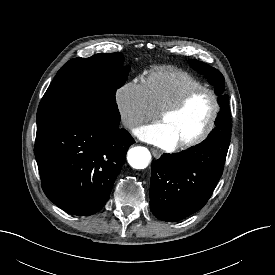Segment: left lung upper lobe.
Returning <instances> with one entry per match:
<instances>
[{
  "mask_svg": "<svg viewBox=\"0 0 275 275\" xmlns=\"http://www.w3.org/2000/svg\"><path fill=\"white\" fill-rule=\"evenodd\" d=\"M188 61L192 68L206 76L209 83L215 86V93L219 95L218 103L220 105V112L215 121L216 127L208 137L224 136L231 138V114L228 105V96L223 93L225 82L223 75L208 64L194 59H189Z\"/></svg>",
  "mask_w": 275,
  "mask_h": 275,
  "instance_id": "5c2ea615",
  "label": "left lung upper lobe"
}]
</instances>
